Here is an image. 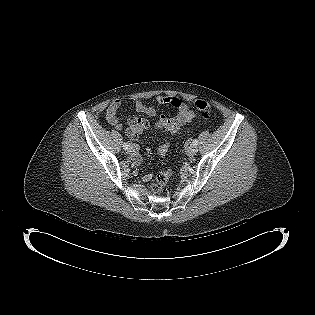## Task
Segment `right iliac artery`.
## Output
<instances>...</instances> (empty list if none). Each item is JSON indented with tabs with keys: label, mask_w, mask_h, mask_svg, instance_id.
<instances>
[{
	"label": "right iliac artery",
	"mask_w": 315,
	"mask_h": 315,
	"mask_svg": "<svg viewBox=\"0 0 315 315\" xmlns=\"http://www.w3.org/2000/svg\"><path fill=\"white\" fill-rule=\"evenodd\" d=\"M128 146H129V145H128L127 143H124V144H123V148H124L125 150L128 149Z\"/></svg>",
	"instance_id": "1"
}]
</instances>
